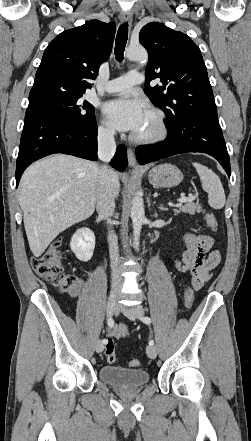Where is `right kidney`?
<instances>
[{
    "instance_id": "1",
    "label": "right kidney",
    "mask_w": 251,
    "mask_h": 441,
    "mask_svg": "<svg viewBox=\"0 0 251 441\" xmlns=\"http://www.w3.org/2000/svg\"><path fill=\"white\" fill-rule=\"evenodd\" d=\"M70 248L78 260L87 262L93 256L95 235L89 228H80L72 236Z\"/></svg>"
}]
</instances>
